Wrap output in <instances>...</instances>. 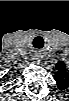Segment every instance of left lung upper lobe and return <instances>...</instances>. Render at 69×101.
I'll list each match as a JSON object with an SVG mask.
<instances>
[{"instance_id":"left-lung-upper-lobe-1","label":"left lung upper lobe","mask_w":69,"mask_h":101,"mask_svg":"<svg viewBox=\"0 0 69 101\" xmlns=\"http://www.w3.org/2000/svg\"><path fill=\"white\" fill-rule=\"evenodd\" d=\"M56 69L58 70V72L55 74V80L57 82L58 88L60 90H64L68 84H69V77L66 76V69H65V65L63 62L60 63V65H56Z\"/></svg>"}]
</instances>
